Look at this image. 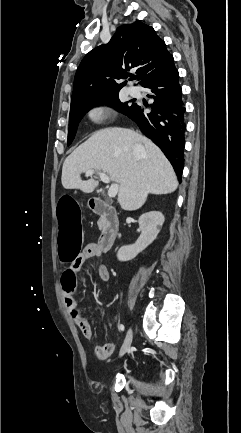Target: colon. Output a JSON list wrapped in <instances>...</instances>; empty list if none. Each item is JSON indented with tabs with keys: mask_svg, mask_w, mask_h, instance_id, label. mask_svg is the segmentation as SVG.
Returning <instances> with one entry per match:
<instances>
[{
	"mask_svg": "<svg viewBox=\"0 0 241 433\" xmlns=\"http://www.w3.org/2000/svg\"><path fill=\"white\" fill-rule=\"evenodd\" d=\"M56 221L58 225V247L60 251L58 259L61 265H70L79 257V247H83L82 221L79 205L75 203L73 192H64L62 197L57 199ZM76 268L68 267L63 272L62 288L65 292H76Z\"/></svg>",
	"mask_w": 241,
	"mask_h": 433,
	"instance_id": "1",
	"label": "colon"
}]
</instances>
